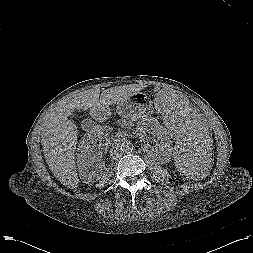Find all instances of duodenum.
Masks as SVG:
<instances>
[{"label":"duodenum","mask_w":253,"mask_h":253,"mask_svg":"<svg viewBox=\"0 0 253 253\" xmlns=\"http://www.w3.org/2000/svg\"><path fill=\"white\" fill-rule=\"evenodd\" d=\"M102 112H103V111H98V114H102ZM86 129H87V130H93L94 127L90 125V126H89L88 128H86Z\"/></svg>","instance_id":"obj_1"}]
</instances>
